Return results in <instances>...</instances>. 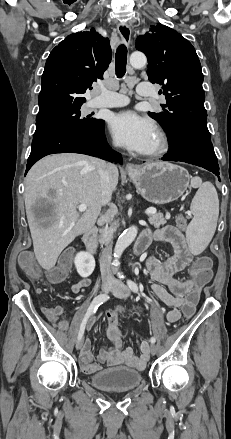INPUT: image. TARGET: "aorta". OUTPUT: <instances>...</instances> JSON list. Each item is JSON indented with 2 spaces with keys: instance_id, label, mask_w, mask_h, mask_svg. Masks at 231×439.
I'll return each mask as SVG.
<instances>
[{
  "instance_id": "1",
  "label": "aorta",
  "mask_w": 231,
  "mask_h": 439,
  "mask_svg": "<svg viewBox=\"0 0 231 439\" xmlns=\"http://www.w3.org/2000/svg\"><path fill=\"white\" fill-rule=\"evenodd\" d=\"M147 58L142 52H134L130 56V64L134 68H142L146 65ZM138 233L136 226L126 229L118 238L114 248V264L119 265V259L124 250L134 241ZM118 275L120 273L118 272Z\"/></svg>"
}]
</instances>
